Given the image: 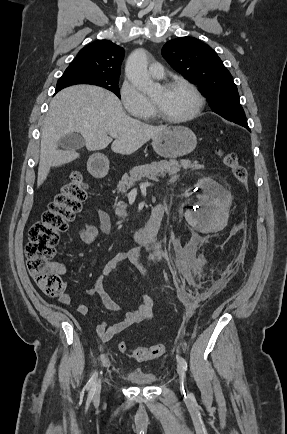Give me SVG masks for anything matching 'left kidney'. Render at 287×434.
<instances>
[{
  "label": "left kidney",
  "mask_w": 287,
  "mask_h": 434,
  "mask_svg": "<svg viewBox=\"0 0 287 434\" xmlns=\"http://www.w3.org/2000/svg\"><path fill=\"white\" fill-rule=\"evenodd\" d=\"M199 186L204 190V194L198 198L207 207L205 213L210 217L215 216V218L218 216V218L226 217L231 203L230 194L211 178L201 179ZM185 219L193 227L200 223L198 212L186 211Z\"/></svg>",
  "instance_id": "left-kidney-1"
}]
</instances>
